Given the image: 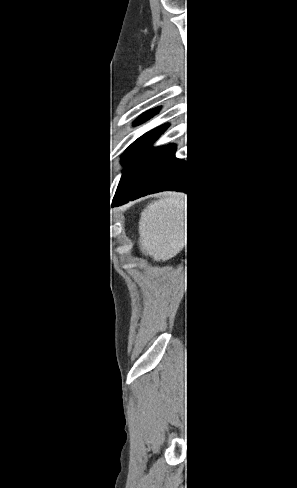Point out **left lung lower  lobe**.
<instances>
[{
  "mask_svg": "<svg viewBox=\"0 0 297 488\" xmlns=\"http://www.w3.org/2000/svg\"><path fill=\"white\" fill-rule=\"evenodd\" d=\"M175 145L164 146L146 165L128 189L113 199L112 206L163 190L191 192L193 181L186 162L175 158Z\"/></svg>",
  "mask_w": 297,
  "mask_h": 488,
  "instance_id": "obj_1",
  "label": "left lung lower lobe"
}]
</instances>
